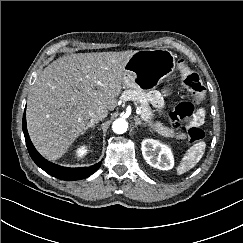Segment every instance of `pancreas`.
Segmentation results:
<instances>
[{"label":"pancreas","instance_id":"cf45deb5","mask_svg":"<svg viewBox=\"0 0 243 243\" xmlns=\"http://www.w3.org/2000/svg\"><path fill=\"white\" fill-rule=\"evenodd\" d=\"M123 101L128 100H135L140 102L141 107V118L147 122L150 126H152L151 120H152V111L148 103L147 93L141 89H129L125 90L121 96Z\"/></svg>","mask_w":243,"mask_h":243}]
</instances>
